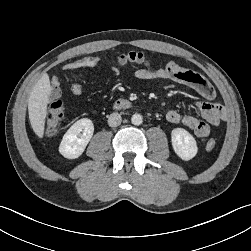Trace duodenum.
Instances as JSON below:
<instances>
[{"label":"duodenum","instance_id":"1","mask_svg":"<svg viewBox=\"0 0 251 251\" xmlns=\"http://www.w3.org/2000/svg\"><path fill=\"white\" fill-rule=\"evenodd\" d=\"M131 106L130 101L126 99H118L114 103V108L115 109H127Z\"/></svg>","mask_w":251,"mask_h":251}]
</instances>
